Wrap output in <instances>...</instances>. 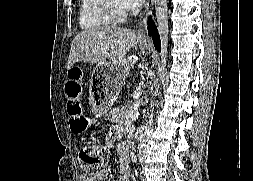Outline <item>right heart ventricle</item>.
I'll return each instance as SVG.
<instances>
[{
	"instance_id": "obj_1",
	"label": "right heart ventricle",
	"mask_w": 253,
	"mask_h": 181,
	"mask_svg": "<svg viewBox=\"0 0 253 181\" xmlns=\"http://www.w3.org/2000/svg\"><path fill=\"white\" fill-rule=\"evenodd\" d=\"M110 20L103 10V0H80L79 26L90 31L105 27Z\"/></svg>"
}]
</instances>
